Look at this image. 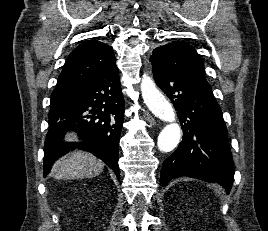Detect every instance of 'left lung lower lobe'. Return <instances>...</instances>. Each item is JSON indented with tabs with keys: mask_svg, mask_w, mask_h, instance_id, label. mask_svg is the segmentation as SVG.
Masks as SVG:
<instances>
[{
	"mask_svg": "<svg viewBox=\"0 0 268 231\" xmlns=\"http://www.w3.org/2000/svg\"><path fill=\"white\" fill-rule=\"evenodd\" d=\"M151 61L154 79L173 103L183 129L182 144L163 162L161 185L187 176L217 182L229 193L234 166L225 122L211 87Z\"/></svg>",
	"mask_w": 268,
	"mask_h": 231,
	"instance_id": "1",
	"label": "left lung lower lobe"
}]
</instances>
